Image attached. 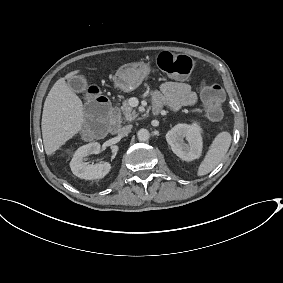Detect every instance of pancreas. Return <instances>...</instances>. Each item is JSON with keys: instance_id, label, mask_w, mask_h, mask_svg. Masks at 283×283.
Segmentation results:
<instances>
[{"instance_id": "pancreas-1", "label": "pancreas", "mask_w": 283, "mask_h": 283, "mask_svg": "<svg viewBox=\"0 0 283 283\" xmlns=\"http://www.w3.org/2000/svg\"><path fill=\"white\" fill-rule=\"evenodd\" d=\"M121 112L124 114V119L131 121L132 119L137 118V114L132 110V106L129 103V100H123L122 106L120 108Z\"/></svg>"}]
</instances>
